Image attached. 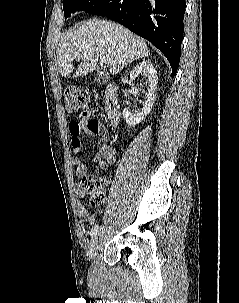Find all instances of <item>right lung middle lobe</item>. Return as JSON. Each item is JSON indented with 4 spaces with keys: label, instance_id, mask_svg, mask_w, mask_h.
Returning <instances> with one entry per match:
<instances>
[{
    "label": "right lung middle lobe",
    "instance_id": "1",
    "mask_svg": "<svg viewBox=\"0 0 239 303\" xmlns=\"http://www.w3.org/2000/svg\"><path fill=\"white\" fill-rule=\"evenodd\" d=\"M105 0H63L65 19L77 11L91 12Z\"/></svg>",
    "mask_w": 239,
    "mask_h": 303
}]
</instances>
